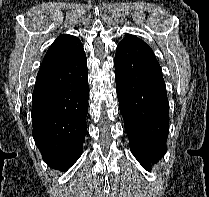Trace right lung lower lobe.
<instances>
[{
	"label": "right lung lower lobe",
	"mask_w": 209,
	"mask_h": 197,
	"mask_svg": "<svg viewBox=\"0 0 209 197\" xmlns=\"http://www.w3.org/2000/svg\"><path fill=\"white\" fill-rule=\"evenodd\" d=\"M88 89L84 50L58 70L36 78L31 111L33 137L43 160L54 169L65 171L82 154Z\"/></svg>",
	"instance_id": "1"
}]
</instances>
